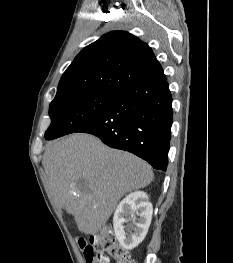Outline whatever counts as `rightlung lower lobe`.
Here are the masks:
<instances>
[{
    "mask_svg": "<svg viewBox=\"0 0 233 263\" xmlns=\"http://www.w3.org/2000/svg\"><path fill=\"white\" fill-rule=\"evenodd\" d=\"M172 96L164 73L116 94L106 110L79 128L110 147L141 157L166 171L173 121Z\"/></svg>",
    "mask_w": 233,
    "mask_h": 263,
    "instance_id": "1",
    "label": "right lung lower lobe"
}]
</instances>
